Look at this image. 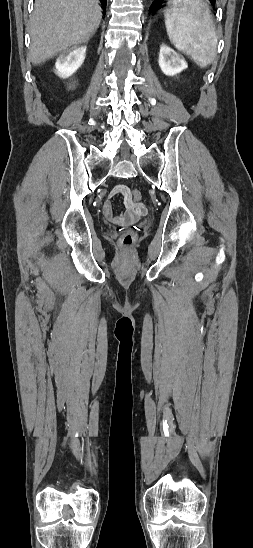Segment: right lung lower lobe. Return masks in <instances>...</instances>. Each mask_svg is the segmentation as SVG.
<instances>
[{"mask_svg": "<svg viewBox=\"0 0 253 548\" xmlns=\"http://www.w3.org/2000/svg\"><path fill=\"white\" fill-rule=\"evenodd\" d=\"M103 4V8L106 9L107 0H100Z\"/></svg>", "mask_w": 253, "mask_h": 548, "instance_id": "right-lung-lower-lobe-1", "label": "right lung lower lobe"}]
</instances>
